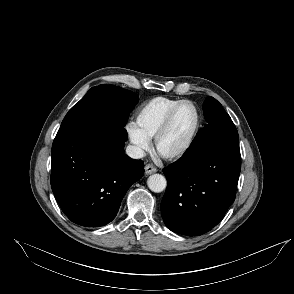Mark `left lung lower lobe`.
I'll use <instances>...</instances> for the list:
<instances>
[{"mask_svg": "<svg viewBox=\"0 0 294 294\" xmlns=\"http://www.w3.org/2000/svg\"><path fill=\"white\" fill-rule=\"evenodd\" d=\"M240 169L236 127L201 129L183 156L163 169L161 215L167 228L189 236L210 231L235 200Z\"/></svg>", "mask_w": 294, "mask_h": 294, "instance_id": "obj_1", "label": "left lung lower lobe"}]
</instances>
